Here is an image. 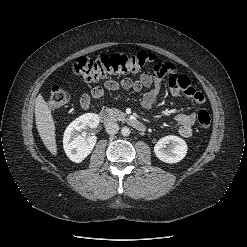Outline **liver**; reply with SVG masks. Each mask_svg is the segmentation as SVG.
<instances>
[{
    "label": "liver",
    "instance_id": "liver-1",
    "mask_svg": "<svg viewBox=\"0 0 247 247\" xmlns=\"http://www.w3.org/2000/svg\"><path fill=\"white\" fill-rule=\"evenodd\" d=\"M35 121L45 147L51 154L57 155L55 123L51 111L41 94L35 100Z\"/></svg>",
    "mask_w": 247,
    "mask_h": 247
}]
</instances>
